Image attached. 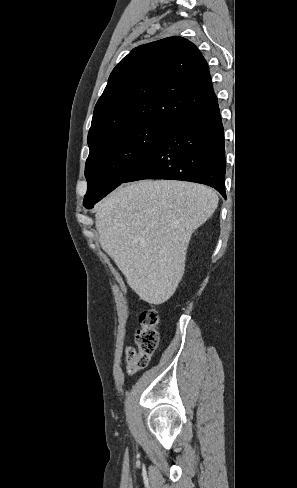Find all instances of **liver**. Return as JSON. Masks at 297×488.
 I'll return each mask as SVG.
<instances>
[{"instance_id":"liver-1","label":"liver","mask_w":297,"mask_h":488,"mask_svg":"<svg viewBox=\"0 0 297 488\" xmlns=\"http://www.w3.org/2000/svg\"><path fill=\"white\" fill-rule=\"evenodd\" d=\"M218 200L213 189L190 182L121 186L97 206L100 244L142 300L162 304L182 279L193 232L212 216Z\"/></svg>"}]
</instances>
